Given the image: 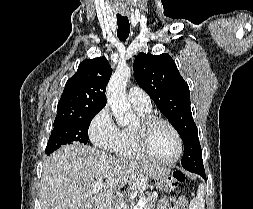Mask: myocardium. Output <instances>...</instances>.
Instances as JSON below:
<instances>
[{"instance_id":"1","label":"myocardium","mask_w":253,"mask_h":209,"mask_svg":"<svg viewBox=\"0 0 253 209\" xmlns=\"http://www.w3.org/2000/svg\"><path fill=\"white\" fill-rule=\"evenodd\" d=\"M157 123L169 127L176 138L177 151L175 156L170 160H160L154 157L148 150L149 131L152 126ZM132 130L135 137L136 147L144 159L160 165H172L179 160L183 150L182 138L177 128L167 119L155 115L144 116L140 118L139 122Z\"/></svg>"}]
</instances>
